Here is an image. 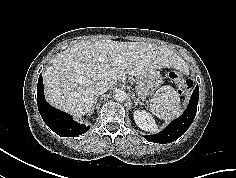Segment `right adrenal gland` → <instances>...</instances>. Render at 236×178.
<instances>
[{"label":"right adrenal gland","instance_id":"obj_1","mask_svg":"<svg viewBox=\"0 0 236 178\" xmlns=\"http://www.w3.org/2000/svg\"><path fill=\"white\" fill-rule=\"evenodd\" d=\"M97 100H98V97H95V99H94V105H93V107H92V109H91V113H92V111H93L94 108H95V104H96Z\"/></svg>","mask_w":236,"mask_h":178}]
</instances>
